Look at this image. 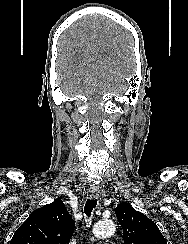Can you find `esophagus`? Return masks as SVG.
<instances>
[{
	"mask_svg": "<svg viewBox=\"0 0 188 244\" xmlns=\"http://www.w3.org/2000/svg\"><path fill=\"white\" fill-rule=\"evenodd\" d=\"M99 195H100L99 190H91L90 191V198H92V199L99 197Z\"/></svg>",
	"mask_w": 188,
	"mask_h": 244,
	"instance_id": "obj_1",
	"label": "esophagus"
}]
</instances>
